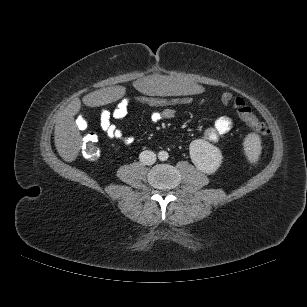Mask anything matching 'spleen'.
Segmentation results:
<instances>
[{"instance_id": "1", "label": "spleen", "mask_w": 307, "mask_h": 307, "mask_svg": "<svg viewBox=\"0 0 307 307\" xmlns=\"http://www.w3.org/2000/svg\"><path fill=\"white\" fill-rule=\"evenodd\" d=\"M241 157L245 164L253 166L260 162L261 153V142L257 135L249 133L242 137L240 142Z\"/></svg>"}]
</instances>
